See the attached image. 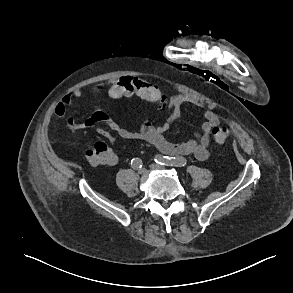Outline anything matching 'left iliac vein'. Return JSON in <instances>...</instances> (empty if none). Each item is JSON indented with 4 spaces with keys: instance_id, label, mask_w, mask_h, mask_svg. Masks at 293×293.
Returning <instances> with one entry per match:
<instances>
[{
    "instance_id": "obj_1",
    "label": "left iliac vein",
    "mask_w": 293,
    "mask_h": 293,
    "mask_svg": "<svg viewBox=\"0 0 293 293\" xmlns=\"http://www.w3.org/2000/svg\"><path fill=\"white\" fill-rule=\"evenodd\" d=\"M149 167L151 169H164V166H162L160 164H156V163H152Z\"/></svg>"
}]
</instances>
